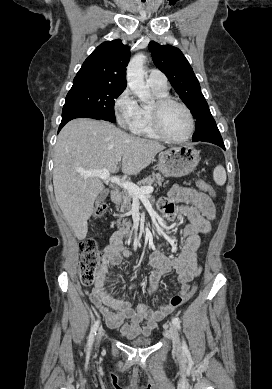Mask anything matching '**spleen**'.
<instances>
[{
  "mask_svg": "<svg viewBox=\"0 0 272 389\" xmlns=\"http://www.w3.org/2000/svg\"><path fill=\"white\" fill-rule=\"evenodd\" d=\"M226 171L222 165L215 167L213 171V179L217 185H224L226 182Z\"/></svg>",
  "mask_w": 272,
  "mask_h": 389,
  "instance_id": "1",
  "label": "spleen"
}]
</instances>
